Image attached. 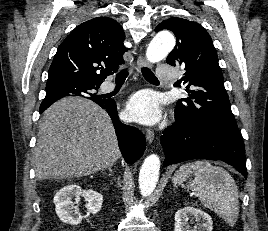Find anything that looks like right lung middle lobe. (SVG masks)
<instances>
[{"label": "right lung middle lobe", "instance_id": "obj_1", "mask_svg": "<svg viewBox=\"0 0 268 231\" xmlns=\"http://www.w3.org/2000/svg\"><path fill=\"white\" fill-rule=\"evenodd\" d=\"M99 86L79 81H57L47 83L46 96L43 101L58 100L65 96H81L88 99L100 98L95 92Z\"/></svg>", "mask_w": 268, "mask_h": 231}]
</instances>
